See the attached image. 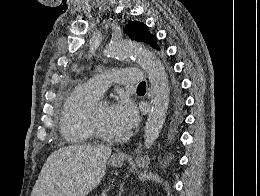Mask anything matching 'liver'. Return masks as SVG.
I'll list each match as a JSON object with an SVG mask.
<instances>
[{
	"instance_id": "obj_1",
	"label": "liver",
	"mask_w": 260,
	"mask_h": 196,
	"mask_svg": "<svg viewBox=\"0 0 260 196\" xmlns=\"http://www.w3.org/2000/svg\"><path fill=\"white\" fill-rule=\"evenodd\" d=\"M108 146H67L47 158L31 196H87L99 186L111 156Z\"/></svg>"
}]
</instances>
